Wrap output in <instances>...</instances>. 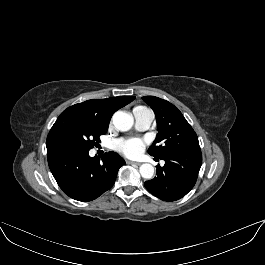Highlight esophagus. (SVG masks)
<instances>
[{
	"label": "esophagus",
	"mask_w": 265,
	"mask_h": 265,
	"mask_svg": "<svg viewBox=\"0 0 265 265\" xmlns=\"http://www.w3.org/2000/svg\"><path fill=\"white\" fill-rule=\"evenodd\" d=\"M129 164L140 165L139 162L128 161Z\"/></svg>",
	"instance_id": "1"
}]
</instances>
